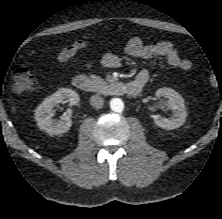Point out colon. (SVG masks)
<instances>
[{"mask_svg":"<svg viewBox=\"0 0 222 219\" xmlns=\"http://www.w3.org/2000/svg\"><path fill=\"white\" fill-rule=\"evenodd\" d=\"M13 89L17 93L33 91L37 88L38 82L35 75L26 65L17 66L12 73ZM211 86L215 87L218 84L216 78L211 77L209 80Z\"/></svg>","mask_w":222,"mask_h":219,"instance_id":"obj_1","label":"colon"}]
</instances>
